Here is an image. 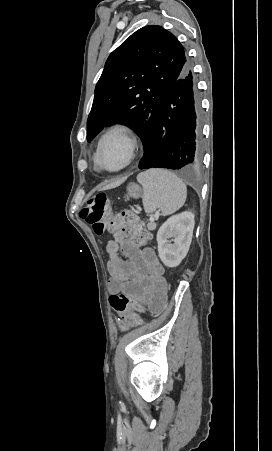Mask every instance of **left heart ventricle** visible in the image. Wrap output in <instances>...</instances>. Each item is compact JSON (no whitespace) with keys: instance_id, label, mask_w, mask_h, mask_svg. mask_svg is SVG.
<instances>
[{"instance_id":"b2bd125f","label":"left heart ventricle","mask_w":272,"mask_h":451,"mask_svg":"<svg viewBox=\"0 0 272 451\" xmlns=\"http://www.w3.org/2000/svg\"><path fill=\"white\" fill-rule=\"evenodd\" d=\"M127 159V152L124 144L117 138L109 139L103 146L99 162L107 170H117L121 168Z\"/></svg>"}]
</instances>
